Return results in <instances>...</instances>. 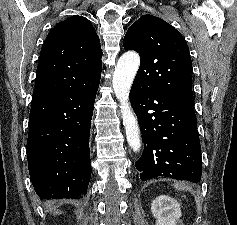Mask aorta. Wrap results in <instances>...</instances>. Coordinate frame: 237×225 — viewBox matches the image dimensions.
<instances>
[{"mask_svg": "<svg viewBox=\"0 0 237 225\" xmlns=\"http://www.w3.org/2000/svg\"><path fill=\"white\" fill-rule=\"evenodd\" d=\"M139 65L137 53H124L118 60L112 79L114 93L120 102L127 142L134 152H138L141 147L140 129L129 102V93Z\"/></svg>", "mask_w": 237, "mask_h": 225, "instance_id": "aorta-1", "label": "aorta"}]
</instances>
